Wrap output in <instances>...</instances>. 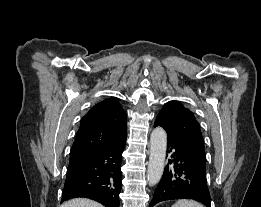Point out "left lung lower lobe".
<instances>
[{
  "label": "left lung lower lobe",
  "mask_w": 261,
  "mask_h": 207,
  "mask_svg": "<svg viewBox=\"0 0 261 207\" xmlns=\"http://www.w3.org/2000/svg\"><path fill=\"white\" fill-rule=\"evenodd\" d=\"M172 150L173 159L168 160L149 207L161 201L174 199H193L211 207L205 164L198 162L168 140L167 152Z\"/></svg>",
  "instance_id": "obj_1"
}]
</instances>
